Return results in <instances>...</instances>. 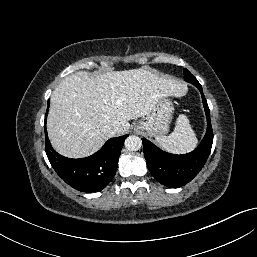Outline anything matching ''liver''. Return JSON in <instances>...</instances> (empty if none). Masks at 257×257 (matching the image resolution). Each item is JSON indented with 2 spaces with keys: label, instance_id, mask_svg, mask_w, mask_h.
I'll return each mask as SVG.
<instances>
[{
  "label": "liver",
  "instance_id": "6515ba94",
  "mask_svg": "<svg viewBox=\"0 0 257 257\" xmlns=\"http://www.w3.org/2000/svg\"><path fill=\"white\" fill-rule=\"evenodd\" d=\"M186 86L145 68L112 71L93 76L78 71L65 77L51 96L47 130L52 146L69 158L95 153L118 127L144 117L162 97L181 96Z\"/></svg>",
  "mask_w": 257,
  "mask_h": 257
}]
</instances>
